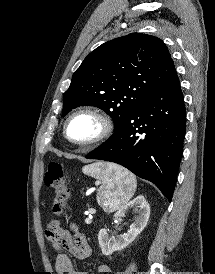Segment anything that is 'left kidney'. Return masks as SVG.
Here are the masks:
<instances>
[{"mask_svg": "<svg viewBox=\"0 0 215 274\" xmlns=\"http://www.w3.org/2000/svg\"><path fill=\"white\" fill-rule=\"evenodd\" d=\"M130 209H133L137 213V217L127 233L114 236L106 229L99 231L98 241L104 255L108 256L115 251H121L126 248L146 227L150 216V206L146 199L142 195L136 197L131 202L122 206L115 213V218L124 217Z\"/></svg>", "mask_w": 215, "mask_h": 274, "instance_id": "5707ae66", "label": "left kidney"}]
</instances>
